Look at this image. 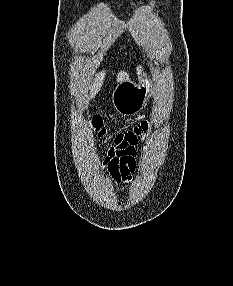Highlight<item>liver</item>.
Wrapping results in <instances>:
<instances>
[{"mask_svg": "<svg viewBox=\"0 0 233 286\" xmlns=\"http://www.w3.org/2000/svg\"><path fill=\"white\" fill-rule=\"evenodd\" d=\"M142 71V67L138 66L137 67V72L138 74ZM104 77H105V71H101L100 73L95 75V81L93 82V84H91L89 86V93L87 95L88 98H93L96 96V94L100 91L103 81H104ZM126 79H129V74L125 71H121L118 73L117 75V81L121 82L124 81Z\"/></svg>", "mask_w": 233, "mask_h": 286, "instance_id": "liver-1", "label": "liver"}]
</instances>
